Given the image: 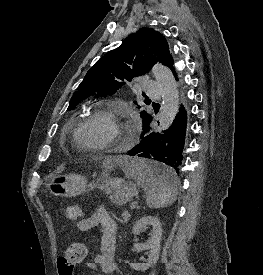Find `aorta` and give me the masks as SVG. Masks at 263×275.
Instances as JSON below:
<instances>
[{"mask_svg":"<svg viewBox=\"0 0 263 275\" xmlns=\"http://www.w3.org/2000/svg\"><path fill=\"white\" fill-rule=\"evenodd\" d=\"M152 73L160 87L162 104L159 114L161 130H167L173 123L179 108V92L172 72L162 64H156Z\"/></svg>","mask_w":263,"mask_h":275,"instance_id":"762f6f07","label":"aorta"}]
</instances>
